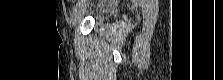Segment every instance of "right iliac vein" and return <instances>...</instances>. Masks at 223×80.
<instances>
[{
	"label": "right iliac vein",
	"mask_w": 223,
	"mask_h": 80,
	"mask_svg": "<svg viewBox=\"0 0 223 80\" xmlns=\"http://www.w3.org/2000/svg\"><path fill=\"white\" fill-rule=\"evenodd\" d=\"M86 8H87V4H81L75 9L72 15L73 26H75L81 20L82 16L84 15L86 11Z\"/></svg>",
	"instance_id": "obj_1"
}]
</instances>
